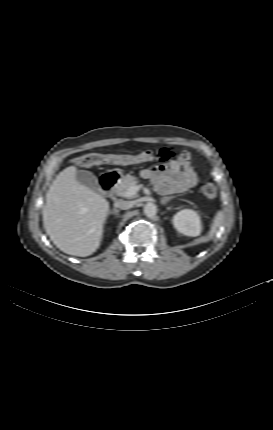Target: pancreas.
<instances>
[{
	"label": "pancreas",
	"instance_id": "cf45deb5",
	"mask_svg": "<svg viewBox=\"0 0 273 430\" xmlns=\"http://www.w3.org/2000/svg\"><path fill=\"white\" fill-rule=\"evenodd\" d=\"M137 182L138 181H137V179L134 176L127 174L126 176L123 177V179L121 180V182L118 185H116V187H115V193L118 196H122L123 194H125L128 191V189L131 186L137 185ZM133 196H131L129 198H132Z\"/></svg>",
	"mask_w": 273,
	"mask_h": 430
}]
</instances>
